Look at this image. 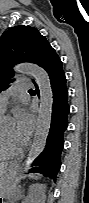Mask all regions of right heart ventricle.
I'll use <instances>...</instances> for the list:
<instances>
[{
    "instance_id": "obj_1",
    "label": "right heart ventricle",
    "mask_w": 89,
    "mask_h": 203,
    "mask_svg": "<svg viewBox=\"0 0 89 203\" xmlns=\"http://www.w3.org/2000/svg\"><path fill=\"white\" fill-rule=\"evenodd\" d=\"M8 157L3 153L2 149H1V140H0V160H5Z\"/></svg>"
}]
</instances>
